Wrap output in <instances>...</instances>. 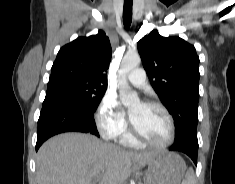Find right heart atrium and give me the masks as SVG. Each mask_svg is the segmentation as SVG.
I'll return each instance as SVG.
<instances>
[{
  "instance_id": "right-heart-atrium-1",
  "label": "right heart atrium",
  "mask_w": 235,
  "mask_h": 184,
  "mask_svg": "<svg viewBox=\"0 0 235 184\" xmlns=\"http://www.w3.org/2000/svg\"><path fill=\"white\" fill-rule=\"evenodd\" d=\"M94 120L100 134L108 139L119 138L127 129L126 114L111 94H106L101 100Z\"/></svg>"
}]
</instances>
